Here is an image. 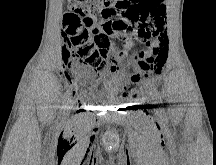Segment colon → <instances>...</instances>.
Wrapping results in <instances>:
<instances>
[{
	"instance_id": "1",
	"label": "colon",
	"mask_w": 216,
	"mask_h": 165,
	"mask_svg": "<svg viewBox=\"0 0 216 165\" xmlns=\"http://www.w3.org/2000/svg\"><path fill=\"white\" fill-rule=\"evenodd\" d=\"M137 0H68L69 10L62 23V57L68 64H76L104 74L108 70L111 51L110 40L96 25L95 15L102 8L114 9L117 5H131ZM134 15V14H131ZM141 41L146 43L139 48L134 43L125 49H117L120 58L131 57L137 60L145 71H158L168 55V38L164 20L149 23L140 31Z\"/></svg>"
}]
</instances>
